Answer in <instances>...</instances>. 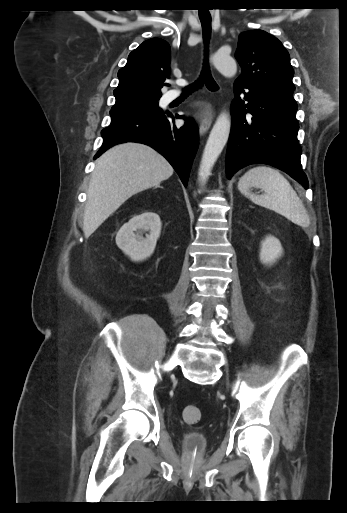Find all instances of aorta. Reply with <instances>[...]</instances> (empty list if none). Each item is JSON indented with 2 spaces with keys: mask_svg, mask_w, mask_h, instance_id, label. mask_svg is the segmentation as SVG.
Here are the masks:
<instances>
[{
  "mask_svg": "<svg viewBox=\"0 0 347 513\" xmlns=\"http://www.w3.org/2000/svg\"><path fill=\"white\" fill-rule=\"evenodd\" d=\"M212 62L214 67L226 78H232L237 72L236 61L228 54L222 52H216L212 56ZM231 129L230 115L226 112H222L208 137L205 145L203 155L201 158L198 180L203 187L208 177L211 174V170L225 147Z\"/></svg>",
  "mask_w": 347,
  "mask_h": 513,
  "instance_id": "aorta-1",
  "label": "aorta"
}]
</instances>
